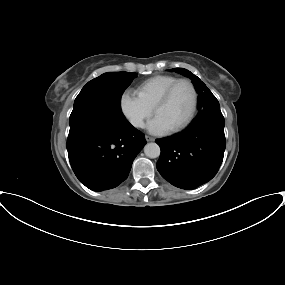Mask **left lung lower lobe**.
<instances>
[{
    "instance_id": "obj_1",
    "label": "left lung lower lobe",
    "mask_w": 285,
    "mask_h": 285,
    "mask_svg": "<svg viewBox=\"0 0 285 285\" xmlns=\"http://www.w3.org/2000/svg\"><path fill=\"white\" fill-rule=\"evenodd\" d=\"M224 117L206 114L184 131L156 140L161 148L157 169L172 185L193 189L210 181L224 156Z\"/></svg>"
}]
</instances>
